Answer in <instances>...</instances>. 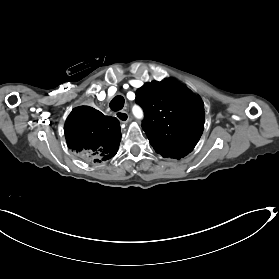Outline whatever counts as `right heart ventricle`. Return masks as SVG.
<instances>
[{"label":"right heart ventricle","mask_w":279,"mask_h":279,"mask_svg":"<svg viewBox=\"0 0 279 279\" xmlns=\"http://www.w3.org/2000/svg\"><path fill=\"white\" fill-rule=\"evenodd\" d=\"M102 58H103V56H96L95 60H100ZM125 98L127 99V101H133L135 98V94L133 92H128L125 95Z\"/></svg>","instance_id":"obj_1"}]
</instances>
